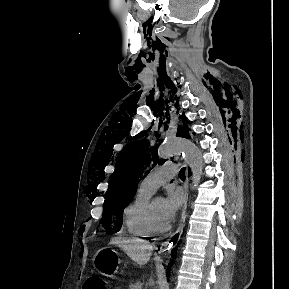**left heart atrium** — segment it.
Instances as JSON below:
<instances>
[{
  "label": "left heart atrium",
  "mask_w": 289,
  "mask_h": 289,
  "mask_svg": "<svg viewBox=\"0 0 289 289\" xmlns=\"http://www.w3.org/2000/svg\"><path fill=\"white\" fill-rule=\"evenodd\" d=\"M184 203V193L181 189H170L164 199L163 215L166 221L174 219L177 212Z\"/></svg>",
  "instance_id": "obj_1"
}]
</instances>
